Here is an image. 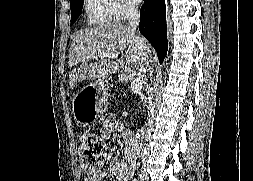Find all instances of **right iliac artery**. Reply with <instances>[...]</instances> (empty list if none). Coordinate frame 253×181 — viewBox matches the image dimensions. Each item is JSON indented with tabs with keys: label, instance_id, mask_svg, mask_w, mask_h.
Segmentation results:
<instances>
[{
	"label": "right iliac artery",
	"instance_id": "1",
	"mask_svg": "<svg viewBox=\"0 0 253 181\" xmlns=\"http://www.w3.org/2000/svg\"><path fill=\"white\" fill-rule=\"evenodd\" d=\"M139 177H140V180H141V181L144 180V176L142 175V172H140Z\"/></svg>",
	"mask_w": 253,
	"mask_h": 181
}]
</instances>
